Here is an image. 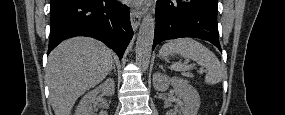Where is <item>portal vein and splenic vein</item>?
Segmentation results:
<instances>
[{
	"label": "portal vein and splenic vein",
	"mask_w": 285,
	"mask_h": 115,
	"mask_svg": "<svg viewBox=\"0 0 285 115\" xmlns=\"http://www.w3.org/2000/svg\"><path fill=\"white\" fill-rule=\"evenodd\" d=\"M184 63H185V64H188V63H189V61H188V60H186V61H184Z\"/></svg>",
	"instance_id": "obj_1"
}]
</instances>
